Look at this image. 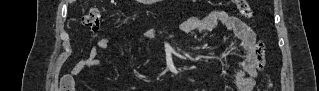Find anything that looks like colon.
Wrapping results in <instances>:
<instances>
[{"label": "colon", "instance_id": "obj_1", "mask_svg": "<svg viewBox=\"0 0 319 91\" xmlns=\"http://www.w3.org/2000/svg\"><path fill=\"white\" fill-rule=\"evenodd\" d=\"M240 14L246 18L252 17L251 8L246 0H233ZM82 24L93 32L98 31L103 23L102 12L98 7H92L81 18Z\"/></svg>", "mask_w": 319, "mask_h": 91}]
</instances>
